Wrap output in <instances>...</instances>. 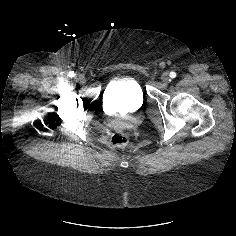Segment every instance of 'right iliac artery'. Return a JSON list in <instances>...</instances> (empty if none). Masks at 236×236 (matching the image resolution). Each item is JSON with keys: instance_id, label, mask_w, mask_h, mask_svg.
<instances>
[{"instance_id": "1", "label": "right iliac artery", "mask_w": 236, "mask_h": 236, "mask_svg": "<svg viewBox=\"0 0 236 236\" xmlns=\"http://www.w3.org/2000/svg\"><path fill=\"white\" fill-rule=\"evenodd\" d=\"M68 75H69V77H71V78H72V77H74V76H75V73H74L73 71H71V72H69V74H68Z\"/></svg>"}]
</instances>
